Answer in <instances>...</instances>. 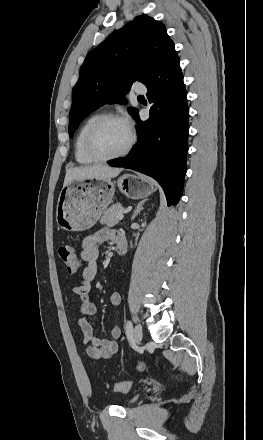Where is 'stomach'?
I'll return each instance as SVG.
<instances>
[{
	"mask_svg": "<svg viewBox=\"0 0 263 440\" xmlns=\"http://www.w3.org/2000/svg\"><path fill=\"white\" fill-rule=\"evenodd\" d=\"M116 185L131 199H142L155 191L151 180L133 174H124L116 182L73 180L63 186L59 194L56 208L58 226L68 232L91 228L113 201Z\"/></svg>",
	"mask_w": 263,
	"mask_h": 440,
	"instance_id": "obj_1",
	"label": "stomach"
}]
</instances>
